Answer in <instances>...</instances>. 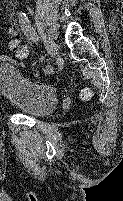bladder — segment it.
I'll return each instance as SVG.
<instances>
[{
	"label": "bladder",
	"mask_w": 123,
	"mask_h": 201,
	"mask_svg": "<svg viewBox=\"0 0 123 201\" xmlns=\"http://www.w3.org/2000/svg\"><path fill=\"white\" fill-rule=\"evenodd\" d=\"M0 88L10 105L29 116L49 115L58 104L54 87L27 78L11 63H0Z\"/></svg>",
	"instance_id": "obj_1"
}]
</instances>
